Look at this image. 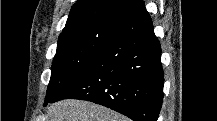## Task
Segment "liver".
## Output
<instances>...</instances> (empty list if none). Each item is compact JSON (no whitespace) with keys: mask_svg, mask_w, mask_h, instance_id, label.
<instances>
[{"mask_svg":"<svg viewBox=\"0 0 217 121\" xmlns=\"http://www.w3.org/2000/svg\"><path fill=\"white\" fill-rule=\"evenodd\" d=\"M47 116L50 121H129L106 107L74 99L51 104Z\"/></svg>","mask_w":217,"mask_h":121,"instance_id":"1","label":"liver"}]
</instances>
